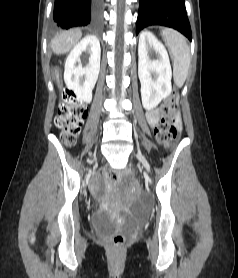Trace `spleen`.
<instances>
[{
	"label": "spleen",
	"mask_w": 238,
	"mask_h": 278,
	"mask_svg": "<svg viewBox=\"0 0 238 278\" xmlns=\"http://www.w3.org/2000/svg\"><path fill=\"white\" fill-rule=\"evenodd\" d=\"M162 36L173 58V77L178 87H182L190 67V49L185 37L173 29H164Z\"/></svg>",
	"instance_id": "obj_1"
}]
</instances>
